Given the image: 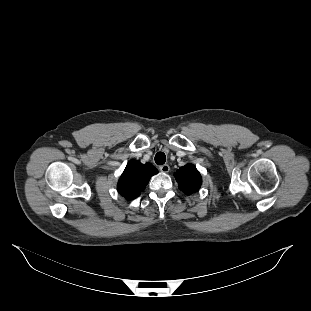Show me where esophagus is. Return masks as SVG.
Segmentation results:
<instances>
[{
  "instance_id": "34e87169",
  "label": "esophagus",
  "mask_w": 311,
  "mask_h": 311,
  "mask_svg": "<svg viewBox=\"0 0 311 311\" xmlns=\"http://www.w3.org/2000/svg\"><path fill=\"white\" fill-rule=\"evenodd\" d=\"M159 169H160V171H161L162 173H167V172H169L170 167H169V165L164 164V165L160 166Z\"/></svg>"
}]
</instances>
